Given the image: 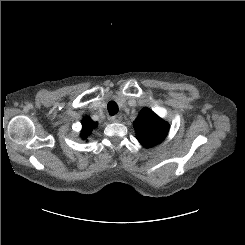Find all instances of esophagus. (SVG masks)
I'll use <instances>...</instances> for the list:
<instances>
[{"mask_svg": "<svg viewBox=\"0 0 245 245\" xmlns=\"http://www.w3.org/2000/svg\"><path fill=\"white\" fill-rule=\"evenodd\" d=\"M113 122H120L122 120V114H117L111 118Z\"/></svg>", "mask_w": 245, "mask_h": 245, "instance_id": "34e87169", "label": "esophagus"}]
</instances>
